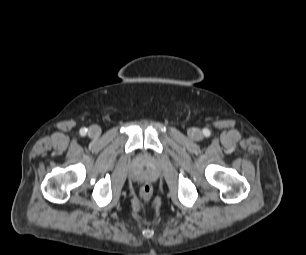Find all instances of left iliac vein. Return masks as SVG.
I'll return each mask as SVG.
<instances>
[{
    "instance_id": "obj_1",
    "label": "left iliac vein",
    "mask_w": 306,
    "mask_h": 255,
    "mask_svg": "<svg viewBox=\"0 0 306 255\" xmlns=\"http://www.w3.org/2000/svg\"><path fill=\"white\" fill-rule=\"evenodd\" d=\"M189 136L194 140H200L202 138V133L200 130L192 129L189 132Z\"/></svg>"
}]
</instances>
